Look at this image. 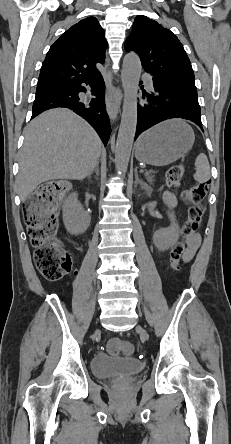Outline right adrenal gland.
I'll return each mask as SVG.
<instances>
[{"instance_id":"right-adrenal-gland-1","label":"right adrenal gland","mask_w":231,"mask_h":444,"mask_svg":"<svg viewBox=\"0 0 231 444\" xmlns=\"http://www.w3.org/2000/svg\"><path fill=\"white\" fill-rule=\"evenodd\" d=\"M96 173V175H99V162L96 164L95 168L93 169V171L89 174V177L93 174Z\"/></svg>"}]
</instances>
